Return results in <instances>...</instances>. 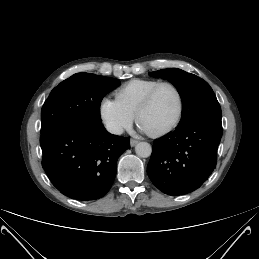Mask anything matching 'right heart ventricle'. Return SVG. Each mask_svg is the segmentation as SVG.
Masks as SVG:
<instances>
[{
    "label": "right heart ventricle",
    "instance_id": "e07e8e85",
    "mask_svg": "<svg viewBox=\"0 0 259 259\" xmlns=\"http://www.w3.org/2000/svg\"><path fill=\"white\" fill-rule=\"evenodd\" d=\"M158 83L155 79H132L115 92V99L127 112L136 116L145 95Z\"/></svg>",
    "mask_w": 259,
    "mask_h": 259
}]
</instances>
